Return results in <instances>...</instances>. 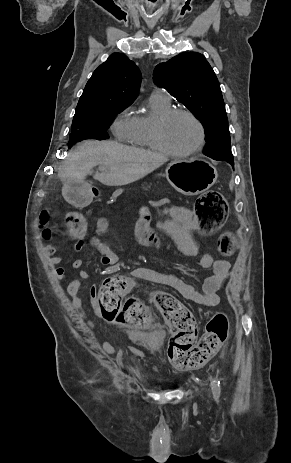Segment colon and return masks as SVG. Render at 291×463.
I'll list each match as a JSON object with an SVG mask.
<instances>
[{"instance_id":"colon-1","label":"colon","mask_w":291,"mask_h":463,"mask_svg":"<svg viewBox=\"0 0 291 463\" xmlns=\"http://www.w3.org/2000/svg\"><path fill=\"white\" fill-rule=\"evenodd\" d=\"M54 211L43 210L39 217L44 238L53 234L65 233L79 237L86 231L85 217L80 212H69L62 224L50 225ZM145 218L156 216H172L160 218L158 223L166 226H189L195 231L209 233L219 228L226 220L228 204L225 197L217 190L202 194L195 203L194 212L188 207L174 203H156L145 205L141 209ZM219 251L230 256L234 251V240L231 233H224L218 241ZM138 290L136 283L126 275H115L107 278L97 292L100 311L108 321L127 322L138 329H144L151 322L147 307L137 298H128ZM150 302L168 318L173 335L168 346V359L178 370H191L205 364L226 341L229 322L224 314L213 316L206 325L205 331L197 341V326L193 314L166 292H146ZM126 299V300H125Z\"/></svg>"}]
</instances>
